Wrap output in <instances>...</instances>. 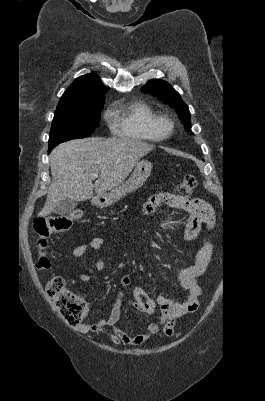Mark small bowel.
<instances>
[{"label":"small bowel","instance_id":"c3829d8e","mask_svg":"<svg viewBox=\"0 0 265 401\" xmlns=\"http://www.w3.org/2000/svg\"><path fill=\"white\" fill-rule=\"evenodd\" d=\"M161 204L188 213L189 217L184 232V239L187 241L196 239L203 225L206 228H211L215 223L214 209L206 200L183 197L168 192L153 195L143 207L144 214L148 215L152 213ZM104 243L105 239L97 236L88 242L80 244L74 248L69 260L80 258L90 250H100ZM212 255V244L207 239H203V245L197 253L195 264L183 268L178 272L176 276L177 281L181 288L187 292V299L185 301H177L162 295L157 296L156 299H152L147 296L141 287H133L130 303L137 311L146 315H152L158 305L161 307V321L149 322L144 332L129 334L116 326L125 302V295L123 293H120L118 296L107 318L95 323L79 324L76 329L82 333H104L116 345L138 346L146 343L157 334L160 326L164 327L165 324H170L173 328L176 320L198 309V298L202 293V289L198 284V278L208 269ZM94 264L97 269H102L105 262L103 259L98 258ZM79 279L81 282H88L97 280L99 277L95 274H82ZM130 282L131 277L129 275L123 276L122 284L124 286H128Z\"/></svg>","mask_w":265,"mask_h":401}]
</instances>
